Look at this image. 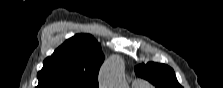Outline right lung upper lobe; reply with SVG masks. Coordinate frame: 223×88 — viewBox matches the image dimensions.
I'll use <instances>...</instances> for the list:
<instances>
[{
	"instance_id": "obj_1",
	"label": "right lung upper lobe",
	"mask_w": 223,
	"mask_h": 88,
	"mask_svg": "<svg viewBox=\"0 0 223 88\" xmlns=\"http://www.w3.org/2000/svg\"><path fill=\"white\" fill-rule=\"evenodd\" d=\"M103 61L100 44L91 35L77 34L44 60L37 88H98Z\"/></svg>"
}]
</instances>
